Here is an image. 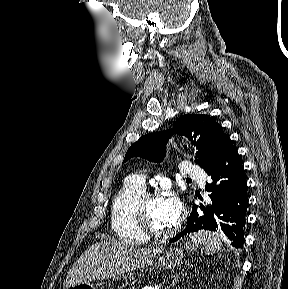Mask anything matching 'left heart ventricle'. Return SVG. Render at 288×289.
Segmentation results:
<instances>
[{
	"label": "left heart ventricle",
	"mask_w": 288,
	"mask_h": 289,
	"mask_svg": "<svg viewBox=\"0 0 288 289\" xmlns=\"http://www.w3.org/2000/svg\"><path fill=\"white\" fill-rule=\"evenodd\" d=\"M145 216L155 228L166 230L168 224L163 221L161 212V199L148 200L145 204Z\"/></svg>",
	"instance_id": "b2bd125f"
}]
</instances>
